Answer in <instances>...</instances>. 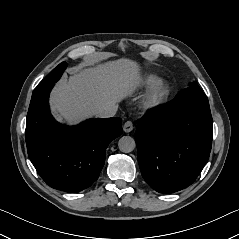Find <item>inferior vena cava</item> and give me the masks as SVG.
Masks as SVG:
<instances>
[{"mask_svg": "<svg viewBox=\"0 0 239 239\" xmlns=\"http://www.w3.org/2000/svg\"><path fill=\"white\" fill-rule=\"evenodd\" d=\"M117 107L116 106H110L104 110H101L97 113V116L100 118H107V117H113L116 114Z\"/></svg>", "mask_w": 239, "mask_h": 239, "instance_id": "602c4592", "label": "inferior vena cava"}]
</instances>
